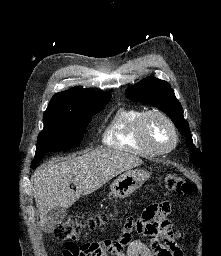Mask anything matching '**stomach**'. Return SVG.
<instances>
[{
	"mask_svg": "<svg viewBox=\"0 0 221 256\" xmlns=\"http://www.w3.org/2000/svg\"><path fill=\"white\" fill-rule=\"evenodd\" d=\"M149 176V173L144 170L127 171L116 178L110 185L109 196L113 195L119 199L126 198L140 188Z\"/></svg>",
	"mask_w": 221,
	"mask_h": 256,
	"instance_id": "stomach-1",
	"label": "stomach"
}]
</instances>
